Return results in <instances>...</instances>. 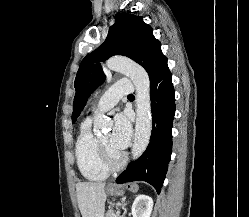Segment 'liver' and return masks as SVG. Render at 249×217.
<instances>
[{
  "instance_id": "6515ba94",
  "label": "liver",
  "mask_w": 249,
  "mask_h": 217,
  "mask_svg": "<svg viewBox=\"0 0 249 217\" xmlns=\"http://www.w3.org/2000/svg\"><path fill=\"white\" fill-rule=\"evenodd\" d=\"M76 191L82 217H104L105 183L80 182L76 185Z\"/></svg>"
}]
</instances>
